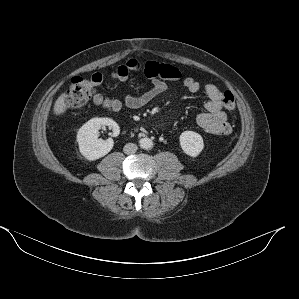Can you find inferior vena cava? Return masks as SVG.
<instances>
[{"mask_svg":"<svg viewBox=\"0 0 299 299\" xmlns=\"http://www.w3.org/2000/svg\"><path fill=\"white\" fill-rule=\"evenodd\" d=\"M138 147L136 144L134 143H127L124 148L123 151L125 154H134L137 151Z\"/></svg>","mask_w":299,"mask_h":299,"instance_id":"inferior-vena-cava-1","label":"inferior vena cava"}]
</instances>
